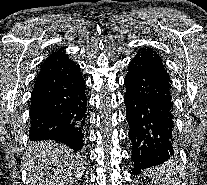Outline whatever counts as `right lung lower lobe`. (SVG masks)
I'll return each instance as SVG.
<instances>
[{
	"mask_svg": "<svg viewBox=\"0 0 207 185\" xmlns=\"http://www.w3.org/2000/svg\"><path fill=\"white\" fill-rule=\"evenodd\" d=\"M87 98L80 71L31 94L29 138L55 140L79 151L84 145Z\"/></svg>",
	"mask_w": 207,
	"mask_h": 185,
	"instance_id": "98d812e1",
	"label": "right lung lower lobe"
}]
</instances>
